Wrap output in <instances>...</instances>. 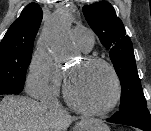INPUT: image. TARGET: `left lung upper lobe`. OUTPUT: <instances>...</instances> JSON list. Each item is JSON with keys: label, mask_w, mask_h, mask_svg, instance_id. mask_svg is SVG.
Here are the masks:
<instances>
[{"label": "left lung upper lobe", "mask_w": 151, "mask_h": 131, "mask_svg": "<svg viewBox=\"0 0 151 131\" xmlns=\"http://www.w3.org/2000/svg\"><path fill=\"white\" fill-rule=\"evenodd\" d=\"M83 13L103 46L110 50L111 61L121 81L120 110L135 104L147 106L136 68L132 42L112 5L107 1L85 5Z\"/></svg>", "instance_id": "obj_1"}]
</instances>
